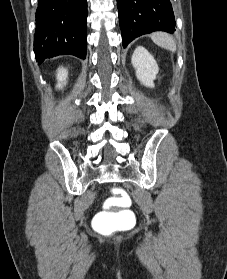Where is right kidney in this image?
<instances>
[{
	"label": "right kidney",
	"instance_id": "1",
	"mask_svg": "<svg viewBox=\"0 0 227 279\" xmlns=\"http://www.w3.org/2000/svg\"><path fill=\"white\" fill-rule=\"evenodd\" d=\"M67 76H68V72L66 69H64L63 67L58 69L57 71L58 88H62L64 85H66Z\"/></svg>",
	"mask_w": 227,
	"mask_h": 279
}]
</instances>
